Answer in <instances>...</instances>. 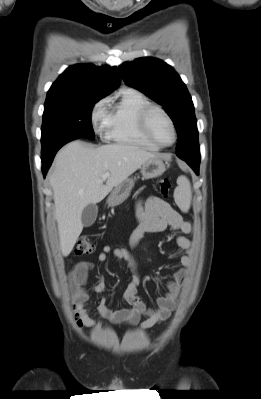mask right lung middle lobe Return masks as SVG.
Segmentation results:
<instances>
[{
  "mask_svg": "<svg viewBox=\"0 0 261 399\" xmlns=\"http://www.w3.org/2000/svg\"><path fill=\"white\" fill-rule=\"evenodd\" d=\"M102 97H47L42 123V146L61 137L74 135L94 139L91 111Z\"/></svg>",
  "mask_w": 261,
  "mask_h": 399,
  "instance_id": "dd1d6c3e",
  "label": "right lung middle lobe"
}]
</instances>
